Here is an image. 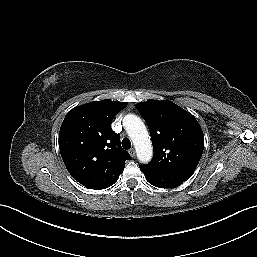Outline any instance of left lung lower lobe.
I'll return each mask as SVG.
<instances>
[{
	"instance_id": "left-lung-lower-lobe-1",
	"label": "left lung lower lobe",
	"mask_w": 257,
	"mask_h": 257,
	"mask_svg": "<svg viewBox=\"0 0 257 257\" xmlns=\"http://www.w3.org/2000/svg\"><path fill=\"white\" fill-rule=\"evenodd\" d=\"M145 175V173H144ZM147 181L159 188H172V187H176L181 185L184 181V179H180V178H174V177H170L167 175H163V176H156V177H148L146 176Z\"/></svg>"
}]
</instances>
